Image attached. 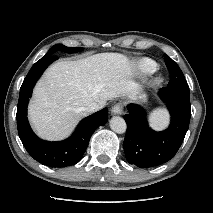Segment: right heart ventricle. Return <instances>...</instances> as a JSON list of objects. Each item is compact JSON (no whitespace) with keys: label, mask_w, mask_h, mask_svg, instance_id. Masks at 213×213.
Listing matches in <instances>:
<instances>
[{"label":"right heart ventricle","mask_w":213,"mask_h":213,"mask_svg":"<svg viewBox=\"0 0 213 213\" xmlns=\"http://www.w3.org/2000/svg\"><path fill=\"white\" fill-rule=\"evenodd\" d=\"M138 69L142 74L148 75L156 71L157 64L149 58H143L138 62Z\"/></svg>","instance_id":"e07e8e85"}]
</instances>
